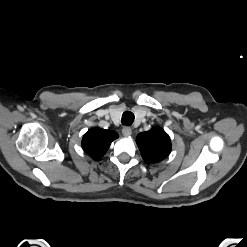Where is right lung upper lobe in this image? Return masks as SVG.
Listing matches in <instances>:
<instances>
[{
  "label": "right lung upper lobe",
  "instance_id": "obj_1",
  "mask_svg": "<svg viewBox=\"0 0 247 247\" xmlns=\"http://www.w3.org/2000/svg\"><path fill=\"white\" fill-rule=\"evenodd\" d=\"M118 134L111 130L94 128L83 136L82 147L93 159L102 157Z\"/></svg>",
  "mask_w": 247,
  "mask_h": 247
}]
</instances>
